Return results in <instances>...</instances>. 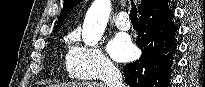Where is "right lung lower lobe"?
Returning <instances> with one entry per match:
<instances>
[{
  "label": "right lung lower lobe",
  "mask_w": 205,
  "mask_h": 87,
  "mask_svg": "<svg viewBox=\"0 0 205 87\" xmlns=\"http://www.w3.org/2000/svg\"><path fill=\"white\" fill-rule=\"evenodd\" d=\"M137 45L142 56L124 66L131 87H168L176 50L177 27L168 0H158L140 13Z\"/></svg>",
  "instance_id": "right-lung-lower-lobe-1"
}]
</instances>
